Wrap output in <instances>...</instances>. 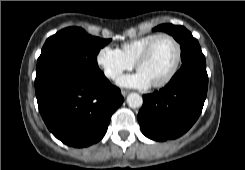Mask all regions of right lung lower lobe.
Segmentation results:
<instances>
[{"mask_svg": "<svg viewBox=\"0 0 245 170\" xmlns=\"http://www.w3.org/2000/svg\"><path fill=\"white\" fill-rule=\"evenodd\" d=\"M40 114L64 144L87 147L100 141L123 103L119 88L103 72L65 71L35 86Z\"/></svg>", "mask_w": 245, "mask_h": 170, "instance_id": "obj_1", "label": "right lung lower lobe"}]
</instances>
